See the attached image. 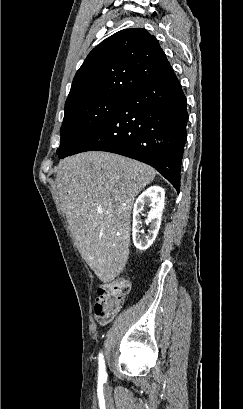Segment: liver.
I'll use <instances>...</instances> for the list:
<instances>
[{"label": "liver", "mask_w": 243, "mask_h": 409, "mask_svg": "<svg viewBox=\"0 0 243 409\" xmlns=\"http://www.w3.org/2000/svg\"><path fill=\"white\" fill-rule=\"evenodd\" d=\"M154 177L150 166L103 151L80 153L58 164L56 184L71 233L103 282L118 276L128 261L132 206Z\"/></svg>", "instance_id": "1"}]
</instances>
